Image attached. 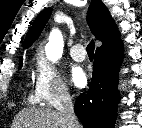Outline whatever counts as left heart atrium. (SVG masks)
Instances as JSON below:
<instances>
[{
	"mask_svg": "<svg viewBox=\"0 0 142 128\" xmlns=\"http://www.w3.org/2000/svg\"><path fill=\"white\" fill-rule=\"evenodd\" d=\"M71 80L76 86H82L86 83V75L82 68L73 67L71 69Z\"/></svg>",
	"mask_w": 142,
	"mask_h": 128,
	"instance_id": "left-heart-atrium-1",
	"label": "left heart atrium"
}]
</instances>
